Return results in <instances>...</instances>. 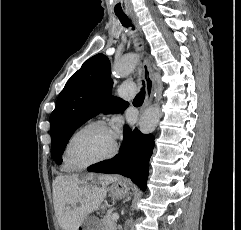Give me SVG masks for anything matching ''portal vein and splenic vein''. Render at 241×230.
Masks as SVG:
<instances>
[{"label": "portal vein and splenic vein", "mask_w": 241, "mask_h": 230, "mask_svg": "<svg viewBox=\"0 0 241 230\" xmlns=\"http://www.w3.org/2000/svg\"><path fill=\"white\" fill-rule=\"evenodd\" d=\"M111 218L116 221L119 219V215L117 213H113Z\"/></svg>", "instance_id": "obj_1"}]
</instances>
